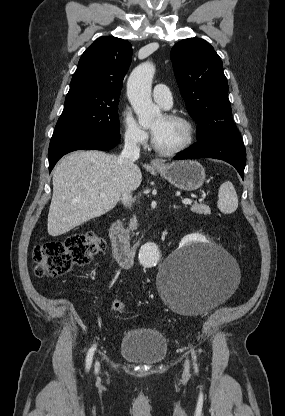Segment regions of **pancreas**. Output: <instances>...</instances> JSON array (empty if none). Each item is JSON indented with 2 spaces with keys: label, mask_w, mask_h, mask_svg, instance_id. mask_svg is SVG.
Listing matches in <instances>:
<instances>
[{
  "label": "pancreas",
  "mask_w": 285,
  "mask_h": 416,
  "mask_svg": "<svg viewBox=\"0 0 285 416\" xmlns=\"http://www.w3.org/2000/svg\"><path fill=\"white\" fill-rule=\"evenodd\" d=\"M191 212H195V214H211L209 206H205V204H193V206H191ZM137 226V218L134 216V218L130 220L128 232L129 230H137Z\"/></svg>",
  "instance_id": "obj_1"
}]
</instances>
